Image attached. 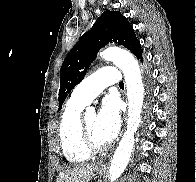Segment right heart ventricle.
I'll use <instances>...</instances> for the list:
<instances>
[{
	"instance_id": "1",
	"label": "right heart ventricle",
	"mask_w": 196,
	"mask_h": 182,
	"mask_svg": "<svg viewBox=\"0 0 196 182\" xmlns=\"http://www.w3.org/2000/svg\"><path fill=\"white\" fill-rule=\"evenodd\" d=\"M85 103L70 98L66 103L59 122L58 135L65 158L73 164L87 161L90 153L81 145L79 139V120Z\"/></svg>"
}]
</instances>
